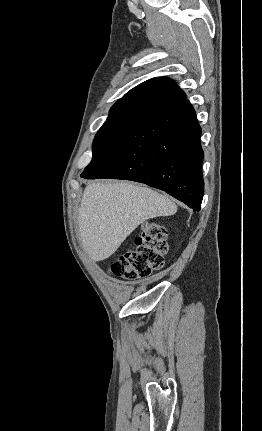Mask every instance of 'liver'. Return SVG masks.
Returning a JSON list of instances; mask_svg holds the SVG:
<instances>
[{
	"mask_svg": "<svg viewBox=\"0 0 262 431\" xmlns=\"http://www.w3.org/2000/svg\"><path fill=\"white\" fill-rule=\"evenodd\" d=\"M176 212L171 198L150 188L125 181L93 182L85 188L79 208L80 239L89 257L102 261L145 220Z\"/></svg>",
	"mask_w": 262,
	"mask_h": 431,
	"instance_id": "liver-1",
	"label": "liver"
}]
</instances>
